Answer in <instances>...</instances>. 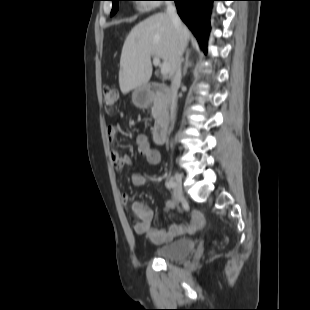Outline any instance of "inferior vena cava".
<instances>
[{"instance_id": "inferior-vena-cava-1", "label": "inferior vena cava", "mask_w": 310, "mask_h": 310, "mask_svg": "<svg viewBox=\"0 0 310 310\" xmlns=\"http://www.w3.org/2000/svg\"><path fill=\"white\" fill-rule=\"evenodd\" d=\"M166 12L172 20L173 25L175 26L179 34V47L176 56V65L174 68L172 83H171V99H170V117L169 121L173 125L176 117L177 109V91L181 83V63H182V54L184 52V42L181 36L182 23L177 14L175 4L169 1L166 4Z\"/></svg>"}]
</instances>
